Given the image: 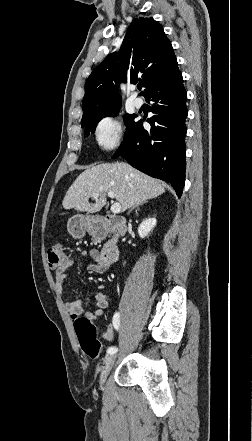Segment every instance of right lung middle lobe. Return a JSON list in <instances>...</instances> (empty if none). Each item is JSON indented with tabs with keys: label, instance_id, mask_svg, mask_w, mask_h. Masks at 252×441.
Returning a JSON list of instances; mask_svg holds the SVG:
<instances>
[{
	"label": "right lung middle lobe",
	"instance_id": "obj_1",
	"mask_svg": "<svg viewBox=\"0 0 252 441\" xmlns=\"http://www.w3.org/2000/svg\"><path fill=\"white\" fill-rule=\"evenodd\" d=\"M120 110V107H116L114 109L102 112L100 114H98L97 116L93 117L92 119H90L89 121L81 124L82 127H85V132H87V135L89 134V132L94 133L95 132V128L97 123L104 117L107 116H116L118 114ZM136 117V115L134 114H126L124 116V122L127 126V133L129 131V129L133 126V124L135 123L134 118ZM126 133V135H127ZM125 135V137H126Z\"/></svg>",
	"mask_w": 252,
	"mask_h": 441
}]
</instances>
